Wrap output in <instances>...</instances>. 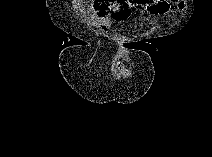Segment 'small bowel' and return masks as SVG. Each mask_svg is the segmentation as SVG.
<instances>
[{
    "instance_id": "c3829d8e",
    "label": "small bowel",
    "mask_w": 212,
    "mask_h": 157,
    "mask_svg": "<svg viewBox=\"0 0 212 157\" xmlns=\"http://www.w3.org/2000/svg\"><path fill=\"white\" fill-rule=\"evenodd\" d=\"M172 1L174 0H102L92 5L90 21L103 32H108L113 21H125L135 10L144 9L156 16L167 13L177 15L183 9V3L175 2L177 8L172 10Z\"/></svg>"
}]
</instances>
